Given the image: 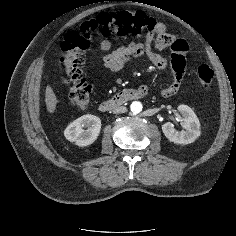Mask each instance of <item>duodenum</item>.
<instances>
[{"instance_id": "1", "label": "duodenum", "mask_w": 236, "mask_h": 236, "mask_svg": "<svg viewBox=\"0 0 236 236\" xmlns=\"http://www.w3.org/2000/svg\"><path fill=\"white\" fill-rule=\"evenodd\" d=\"M145 94L146 93L143 92L141 89L127 88V89L121 90L110 99L100 102L98 107L101 111H109V110L118 108L126 104L127 102L141 98Z\"/></svg>"}]
</instances>
